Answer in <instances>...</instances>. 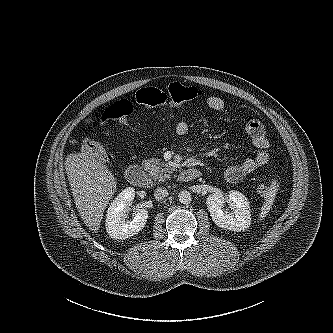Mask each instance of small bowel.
<instances>
[{"label": "small bowel", "mask_w": 333, "mask_h": 333, "mask_svg": "<svg viewBox=\"0 0 333 333\" xmlns=\"http://www.w3.org/2000/svg\"><path fill=\"white\" fill-rule=\"evenodd\" d=\"M206 106L214 111H222L226 107L225 101L219 96H209L205 100ZM189 123L181 120L177 123L175 132L179 136L187 134ZM245 131L256 149L253 157H248L238 164H232L225 168L223 175L229 182H237L264 166L269 159L270 142L267 138L263 124L251 119L245 125Z\"/></svg>", "instance_id": "1"}]
</instances>
